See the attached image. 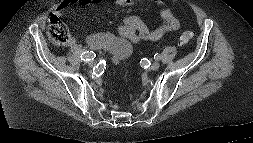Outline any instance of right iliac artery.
Wrapping results in <instances>:
<instances>
[{
  "instance_id": "right-iliac-artery-1",
  "label": "right iliac artery",
  "mask_w": 253,
  "mask_h": 143,
  "mask_svg": "<svg viewBox=\"0 0 253 143\" xmlns=\"http://www.w3.org/2000/svg\"><path fill=\"white\" fill-rule=\"evenodd\" d=\"M96 57V53L93 51H85L81 54V60L87 62L93 60Z\"/></svg>"
}]
</instances>
